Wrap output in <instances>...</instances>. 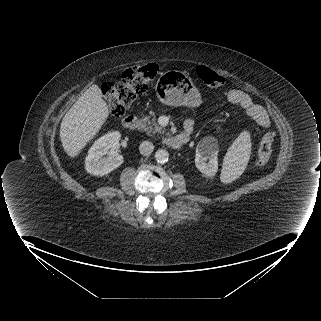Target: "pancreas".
I'll return each instance as SVG.
<instances>
[{
	"mask_svg": "<svg viewBox=\"0 0 321 321\" xmlns=\"http://www.w3.org/2000/svg\"><path fill=\"white\" fill-rule=\"evenodd\" d=\"M141 128L148 134L165 132V129L156 123L155 118L151 119L150 116H144L141 119Z\"/></svg>",
	"mask_w": 321,
	"mask_h": 321,
	"instance_id": "1",
	"label": "pancreas"
}]
</instances>
